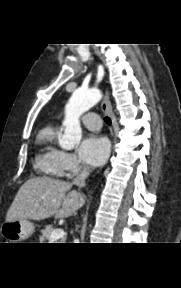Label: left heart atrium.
I'll return each instance as SVG.
<instances>
[{"instance_id":"1","label":"left heart atrium","mask_w":181,"mask_h":288,"mask_svg":"<svg viewBox=\"0 0 181 288\" xmlns=\"http://www.w3.org/2000/svg\"><path fill=\"white\" fill-rule=\"evenodd\" d=\"M109 150V142L105 137L90 134L80 143L78 155L86 164L98 166L107 159Z\"/></svg>"}]
</instances>
